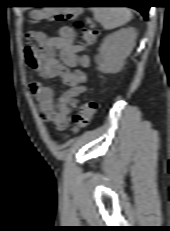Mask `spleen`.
Wrapping results in <instances>:
<instances>
[{
    "label": "spleen",
    "mask_w": 170,
    "mask_h": 231,
    "mask_svg": "<svg viewBox=\"0 0 170 231\" xmlns=\"http://www.w3.org/2000/svg\"><path fill=\"white\" fill-rule=\"evenodd\" d=\"M94 18L102 23L105 30L125 25L131 20V12L126 7H93Z\"/></svg>",
    "instance_id": "spleen-1"
}]
</instances>
